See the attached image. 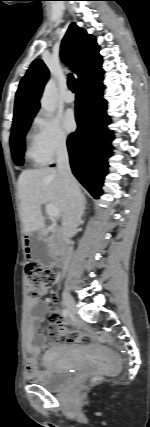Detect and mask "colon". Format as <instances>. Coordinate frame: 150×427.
Returning a JSON list of instances; mask_svg holds the SVG:
<instances>
[{
  "mask_svg": "<svg viewBox=\"0 0 150 427\" xmlns=\"http://www.w3.org/2000/svg\"><path fill=\"white\" fill-rule=\"evenodd\" d=\"M27 294L30 298L36 299L46 294L54 285L56 274L40 263L29 260L26 264ZM100 380L99 376L93 377L91 382Z\"/></svg>",
  "mask_w": 150,
  "mask_h": 427,
  "instance_id": "colon-1",
  "label": "colon"
}]
</instances>
